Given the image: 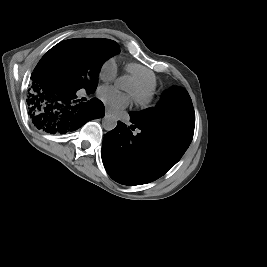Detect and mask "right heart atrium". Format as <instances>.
<instances>
[{"instance_id": "d8ad5b80", "label": "right heart atrium", "mask_w": 267, "mask_h": 267, "mask_svg": "<svg viewBox=\"0 0 267 267\" xmlns=\"http://www.w3.org/2000/svg\"><path fill=\"white\" fill-rule=\"evenodd\" d=\"M113 60H109L103 67V76L112 78L115 75L114 68L112 67Z\"/></svg>"}]
</instances>
